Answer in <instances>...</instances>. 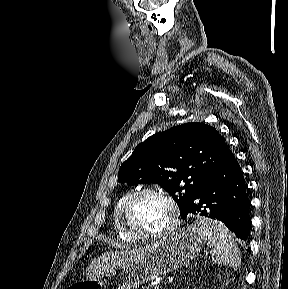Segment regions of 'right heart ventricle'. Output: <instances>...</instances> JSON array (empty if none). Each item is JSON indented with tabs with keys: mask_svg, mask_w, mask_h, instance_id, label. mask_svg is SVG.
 Masks as SVG:
<instances>
[{
	"mask_svg": "<svg viewBox=\"0 0 288 289\" xmlns=\"http://www.w3.org/2000/svg\"><path fill=\"white\" fill-rule=\"evenodd\" d=\"M131 194H132V191H127L123 193L116 201L112 210V224H113L115 235L117 236L118 239H120L122 242H125V243H135L137 241V239L132 238L122 229L119 223V217H118V213H119V209L121 205Z\"/></svg>",
	"mask_w": 288,
	"mask_h": 289,
	"instance_id": "e07e8e85",
	"label": "right heart ventricle"
}]
</instances>
